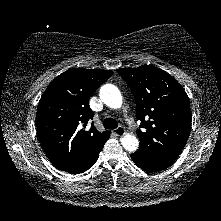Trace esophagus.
<instances>
[{
  "mask_svg": "<svg viewBox=\"0 0 221 221\" xmlns=\"http://www.w3.org/2000/svg\"><path fill=\"white\" fill-rule=\"evenodd\" d=\"M113 133L117 136H123L126 134V130L124 129V127L119 126L118 128L113 130Z\"/></svg>",
  "mask_w": 221,
  "mask_h": 221,
  "instance_id": "34e87169",
  "label": "esophagus"
}]
</instances>
